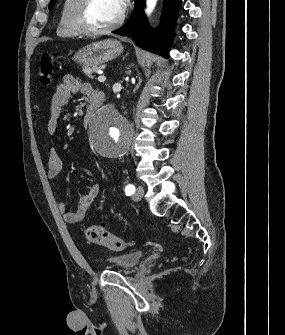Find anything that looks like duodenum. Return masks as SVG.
Masks as SVG:
<instances>
[{
  "label": "duodenum",
  "mask_w": 285,
  "mask_h": 335,
  "mask_svg": "<svg viewBox=\"0 0 285 335\" xmlns=\"http://www.w3.org/2000/svg\"><path fill=\"white\" fill-rule=\"evenodd\" d=\"M102 103V100H92L85 112L84 118H83V124L84 126H87L91 119L94 117L96 111L98 110V108L100 107Z\"/></svg>",
  "instance_id": "obj_1"
}]
</instances>
